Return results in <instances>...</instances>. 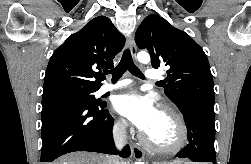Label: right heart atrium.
<instances>
[{"instance_id": "d8ad5b80", "label": "right heart atrium", "mask_w": 251, "mask_h": 164, "mask_svg": "<svg viewBox=\"0 0 251 164\" xmlns=\"http://www.w3.org/2000/svg\"><path fill=\"white\" fill-rule=\"evenodd\" d=\"M125 128H126V123L123 119H117L114 122V130L116 133H118V134L124 133Z\"/></svg>"}]
</instances>
